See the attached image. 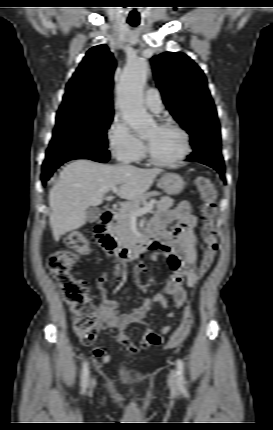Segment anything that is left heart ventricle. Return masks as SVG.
I'll use <instances>...</instances> for the list:
<instances>
[{"mask_svg":"<svg viewBox=\"0 0 273 430\" xmlns=\"http://www.w3.org/2000/svg\"><path fill=\"white\" fill-rule=\"evenodd\" d=\"M153 155L160 160H172L180 155L183 149L181 135L172 129H161L152 126L144 135Z\"/></svg>","mask_w":273,"mask_h":430,"instance_id":"left-heart-ventricle-1","label":"left heart ventricle"}]
</instances>
